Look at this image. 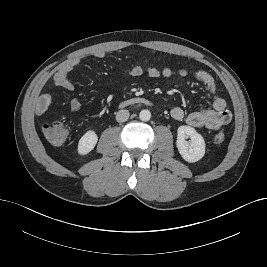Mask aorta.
Listing matches in <instances>:
<instances>
[{"label":"aorta","mask_w":267,"mask_h":267,"mask_svg":"<svg viewBox=\"0 0 267 267\" xmlns=\"http://www.w3.org/2000/svg\"><path fill=\"white\" fill-rule=\"evenodd\" d=\"M139 118L141 121H149L151 118V113L149 110H141V112L139 113Z\"/></svg>","instance_id":"762f6f07"}]
</instances>
